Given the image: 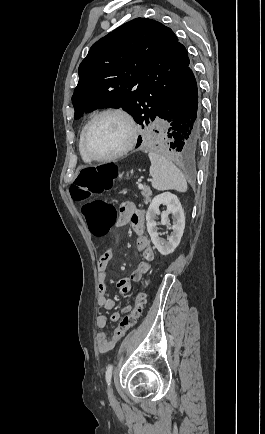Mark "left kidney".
Returning a JSON list of instances; mask_svg holds the SVG:
<instances>
[{"label":"left kidney","instance_id":"5707ae66","mask_svg":"<svg viewBox=\"0 0 265 434\" xmlns=\"http://www.w3.org/2000/svg\"><path fill=\"white\" fill-rule=\"evenodd\" d=\"M160 204H165V206H167L166 212H162L161 214V224H163V226H165V224H169V214H172L173 218H175L173 226L168 228V230H173V232H171V236H168V242L163 240V238H159V234L157 232L158 228H156L158 224L155 222V220L160 214ZM146 226L147 232L151 238V242L154 244L155 248H157L158 252H160L162 256H168V254H172V252L176 250L178 244H180V240L183 236V230L185 228L184 212L177 196L170 194V192H164V194L155 196L147 210Z\"/></svg>","mask_w":265,"mask_h":434}]
</instances>
